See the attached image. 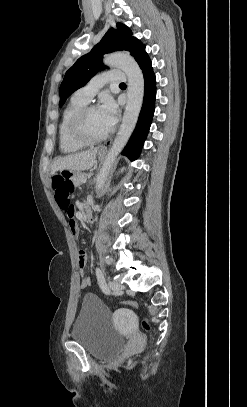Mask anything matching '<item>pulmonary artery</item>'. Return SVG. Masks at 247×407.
<instances>
[{"label": "pulmonary artery", "instance_id": "pulmonary-artery-1", "mask_svg": "<svg viewBox=\"0 0 247 407\" xmlns=\"http://www.w3.org/2000/svg\"><path fill=\"white\" fill-rule=\"evenodd\" d=\"M126 76L121 71H108L97 74L85 86L79 88L73 95L74 98L90 102L98 90L106 83H122Z\"/></svg>", "mask_w": 247, "mask_h": 407}]
</instances>
